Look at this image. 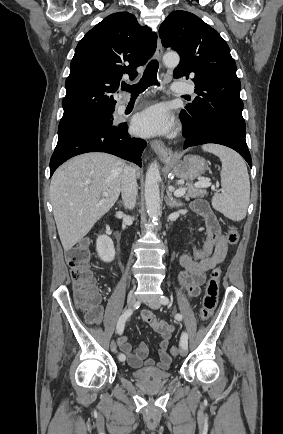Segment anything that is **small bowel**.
<instances>
[{
    "instance_id": "small-bowel-1",
    "label": "small bowel",
    "mask_w": 283,
    "mask_h": 434,
    "mask_svg": "<svg viewBox=\"0 0 283 434\" xmlns=\"http://www.w3.org/2000/svg\"><path fill=\"white\" fill-rule=\"evenodd\" d=\"M191 209L204 219L206 225V236L202 246L194 250L193 256L182 254L179 259L181 266V271L178 274L179 285L182 291L193 299L201 294L207 272L226 258L228 244L214 212L206 201L195 200ZM141 316L161 338L158 345V361L148 357L149 349L143 342H140L136 349H133L127 338L122 336L117 339V344L122 354L127 357L131 367L156 365L159 369L166 370L171 363L167 349L173 326L158 320L150 310H144Z\"/></svg>"
}]
</instances>
